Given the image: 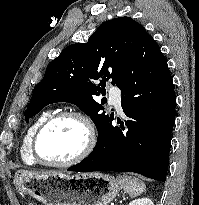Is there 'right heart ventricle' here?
Listing matches in <instances>:
<instances>
[{
    "label": "right heart ventricle",
    "instance_id": "obj_1",
    "mask_svg": "<svg viewBox=\"0 0 199 205\" xmlns=\"http://www.w3.org/2000/svg\"><path fill=\"white\" fill-rule=\"evenodd\" d=\"M52 114L51 109L43 111L27 129L20 146V156L25 164L35 165L37 163L31 154V139L38 127Z\"/></svg>",
    "mask_w": 199,
    "mask_h": 205
}]
</instances>
